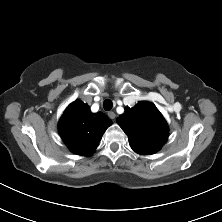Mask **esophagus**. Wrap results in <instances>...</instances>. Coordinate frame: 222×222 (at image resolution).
<instances>
[{
  "mask_svg": "<svg viewBox=\"0 0 222 222\" xmlns=\"http://www.w3.org/2000/svg\"><path fill=\"white\" fill-rule=\"evenodd\" d=\"M108 117L113 120V119H115L116 114L113 111H110V112H108Z\"/></svg>",
  "mask_w": 222,
  "mask_h": 222,
  "instance_id": "1",
  "label": "esophagus"
}]
</instances>
